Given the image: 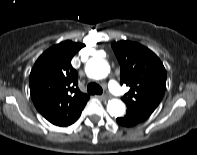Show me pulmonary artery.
Listing matches in <instances>:
<instances>
[{
    "label": "pulmonary artery",
    "mask_w": 197,
    "mask_h": 155,
    "mask_svg": "<svg viewBox=\"0 0 197 155\" xmlns=\"http://www.w3.org/2000/svg\"><path fill=\"white\" fill-rule=\"evenodd\" d=\"M109 89L115 94V95H121V89L118 84V82L114 79L110 80L109 82Z\"/></svg>",
    "instance_id": "1"
}]
</instances>
